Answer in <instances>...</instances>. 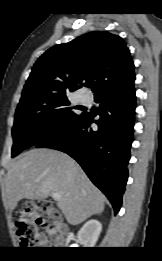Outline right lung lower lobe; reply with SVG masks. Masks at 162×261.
<instances>
[{
    "instance_id": "1",
    "label": "right lung lower lobe",
    "mask_w": 162,
    "mask_h": 261,
    "mask_svg": "<svg viewBox=\"0 0 162 261\" xmlns=\"http://www.w3.org/2000/svg\"><path fill=\"white\" fill-rule=\"evenodd\" d=\"M95 101L100 103L99 120L93 121L89 114L84 113L68 127L40 141L36 147L60 150L74 158L108 197L116 214L128 179L127 165L136 108L134 86L104 93ZM93 122L98 125L96 131L90 127Z\"/></svg>"
}]
</instances>
